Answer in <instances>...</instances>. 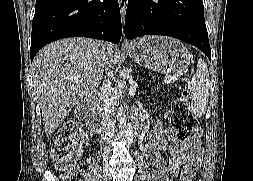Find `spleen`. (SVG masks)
Returning a JSON list of instances; mask_svg holds the SVG:
<instances>
[{"mask_svg":"<svg viewBox=\"0 0 253 181\" xmlns=\"http://www.w3.org/2000/svg\"><path fill=\"white\" fill-rule=\"evenodd\" d=\"M189 89L192 92L191 110L201 117L206 112L210 89L208 67L202 58L198 60L197 71L192 77Z\"/></svg>","mask_w":253,"mask_h":181,"instance_id":"spleen-1","label":"spleen"}]
</instances>
